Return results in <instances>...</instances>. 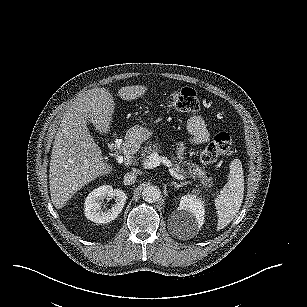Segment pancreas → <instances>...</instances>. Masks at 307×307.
<instances>
[{
    "instance_id": "cf45deb5",
    "label": "pancreas",
    "mask_w": 307,
    "mask_h": 307,
    "mask_svg": "<svg viewBox=\"0 0 307 307\" xmlns=\"http://www.w3.org/2000/svg\"><path fill=\"white\" fill-rule=\"evenodd\" d=\"M161 153L160 146L154 142V141H148L144 147L140 150V155L144 159V161L147 159V157L151 153ZM176 158L173 157L172 160H175ZM186 168H182L180 164H176L175 167H178V173L183 175L185 178H192L193 180H199L200 185H202L204 188L208 189L211 188L213 183V178L207 176V172L204 171L199 165L189 163L186 165ZM199 192L200 190H195Z\"/></svg>"
}]
</instances>
